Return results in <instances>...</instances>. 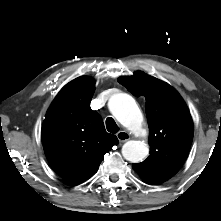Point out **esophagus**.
Wrapping results in <instances>:
<instances>
[{"instance_id":"34e87169","label":"esophagus","mask_w":221,"mask_h":221,"mask_svg":"<svg viewBox=\"0 0 221 221\" xmlns=\"http://www.w3.org/2000/svg\"><path fill=\"white\" fill-rule=\"evenodd\" d=\"M116 136L121 143H124L130 139L129 134L126 131H119Z\"/></svg>"}]
</instances>
